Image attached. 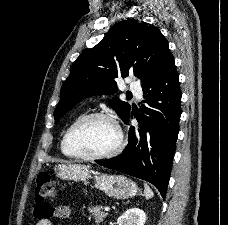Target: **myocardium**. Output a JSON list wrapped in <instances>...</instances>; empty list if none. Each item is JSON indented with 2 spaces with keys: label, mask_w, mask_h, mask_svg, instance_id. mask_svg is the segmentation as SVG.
Listing matches in <instances>:
<instances>
[{
  "label": "myocardium",
  "mask_w": 228,
  "mask_h": 225,
  "mask_svg": "<svg viewBox=\"0 0 228 225\" xmlns=\"http://www.w3.org/2000/svg\"><path fill=\"white\" fill-rule=\"evenodd\" d=\"M92 118L104 119L110 122L114 126L118 137V142L116 146L110 151L99 155H84V154H78L70 151L69 142H70L72 133L81 123ZM124 146H125V140H124L123 132L118 122L112 116L101 112H93V113H88L80 116L69 126V128L67 129L64 135V148L67 155L72 158H77L82 160L96 161V160L111 158L119 154L123 150Z\"/></svg>",
  "instance_id": "myocardium-1"
}]
</instances>
